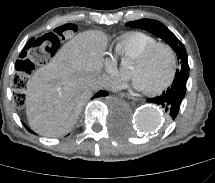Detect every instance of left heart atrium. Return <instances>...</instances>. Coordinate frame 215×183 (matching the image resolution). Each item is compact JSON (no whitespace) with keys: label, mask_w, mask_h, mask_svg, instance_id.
<instances>
[{"label":"left heart atrium","mask_w":215,"mask_h":183,"mask_svg":"<svg viewBox=\"0 0 215 183\" xmlns=\"http://www.w3.org/2000/svg\"><path fill=\"white\" fill-rule=\"evenodd\" d=\"M133 85L138 90H146L140 79H138L137 77H133Z\"/></svg>","instance_id":"obj_1"}]
</instances>
